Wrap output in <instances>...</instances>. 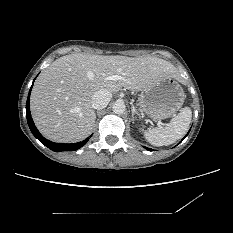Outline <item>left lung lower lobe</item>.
Listing matches in <instances>:
<instances>
[{
  "mask_svg": "<svg viewBox=\"0 0 233 233\" xmlns=\"http://www.w3.org/2000/svg\"><path fill=\"white\" fill-rule=\"evenodd\" d=\"M189 131H190V130H189ZM188 133H189V132H188ZM188 133L185 135V137L188 135ZM185 137H184V138H185ZM184 138H183V139H184ZM183 139H182V140H183ZM182 140H181V141H182ZM145 149H147V150H149V151H152V149H151V148H147V147H145Z\"/></svg>",
  "mask_w": 233,
  "mask_h": 233,
  "instance_id": "0a47b994",
  "label": "left lung lower lobe"
}]
</instances>
